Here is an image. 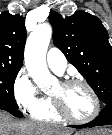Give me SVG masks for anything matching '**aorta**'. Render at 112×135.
Returning a JSON list of instances; mask_svg holds the SVG:
<instances>
[{
  "mask_svg": "<svg viewBox=\"0 0 112 135\" xmlns=\"http://www.w3.org/2000/svg\"><path fill=\"white\" fill-rule=\"evenodd\" d=\"M51 36V26L42 24L30 34L25 46L27 71L35 84L42 90L49 88L55 81L46 64V53Z\"/></svg>",
  "mask_w": 112,
  "mask_h": 135,
  "instance_id": "762f6f07",
  "label": "aorta"
}]
</instances>
